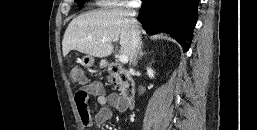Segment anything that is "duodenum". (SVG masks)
<instances>
[{"label":"duodenum","instance_id":"410a0bca","mask_svg":"<svg viewBox=\"0 0 257 130\" xmlns=\"http://www.w3.org/2000/svg\"><path fill=\"white\" fill-rule=\"evenodd\" d=\"M107 71L119 81L120 94L125 108H131L135 100V83L129 72L114 62L106 63Z\"/></svg>","mask_w":257,"mask_h":130}]
</instances>
